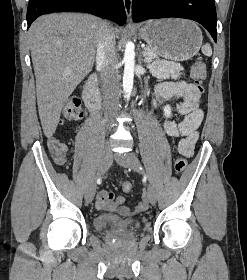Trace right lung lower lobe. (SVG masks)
<instances>
[{
	"label": "right lung lower lobe",
	"mask_w": 247,
	"mask_h": 280,
	"mask_svg": "<svg viewBox=\"0 0 247 280\" xmlns=\"http://www.w3.org/2000/svg\"><path fill=\"white\" fill-rule=\"evenodd\" d=\"M81 11L116 21L123 25L126 13L122 0H29L28 27L40 15L51 12Z\"/></svg>",
	"instance_id": "right-lung-lower-lobe-1"
}]
</instances>
